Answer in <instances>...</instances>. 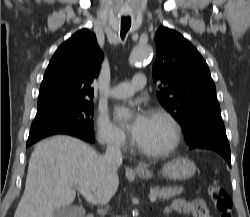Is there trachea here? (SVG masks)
Here are the masks:
<instances>
[{"mask_svg":"<svg viewBox=\"0 0 250 217\" xmlns=\"http://www.w3.org/2000/svg\"><path fill=\"white\" fill-rule=\"evenodd\" d=\"M131 26V20L130 19H121V38L124 39L128 30L130 29Z\"/></svg>","mask_w":250,"mask_h":217,"instance_id":"obj_1","label":"trachea"}]
</instances>
